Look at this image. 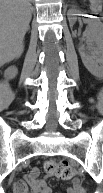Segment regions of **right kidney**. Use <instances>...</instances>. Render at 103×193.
I'll list each match as a JSON object with an SVG mask.
<instances>
[{
  "label": "right kidney",
  "mask_w": 103,
  "mask_h": 193,
  "mask_svg": "<svg viewBox=\"0 0 103 193\" xmlns=\"http://www.w3.org/2000/svg\"><path fill=\"white\" fill-rule=\"evenodd\" d=\"M16 74H17L16 67H10L5 71V76H8L9 78H13Z\"/></svg>",
  "instance_id": "1"
}]
</instances>
